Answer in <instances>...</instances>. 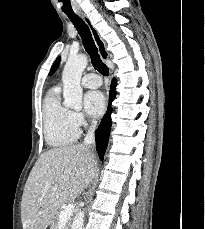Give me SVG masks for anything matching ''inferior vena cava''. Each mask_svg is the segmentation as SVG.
I'll return each instance as SVG.
<instances>
[{"label": "inferior vena cava", "mask_w": 205, "mask_h": 229, "mask_svg": "<svg viewBox=\"0 0 205 229\" xmlns=\"http://www.w3.org/2000/svg\"><path fill=\"white\" fill-rule=\"evenodd\" d=\"M95 125H96V121L93 120L92 125L90 126L88 133H87L86 137L84 138V147L88 151H90L91 146L95 143V133H94L95 132Z\"/></svg>", "instance_id": "602c4592"}]
</instances>
